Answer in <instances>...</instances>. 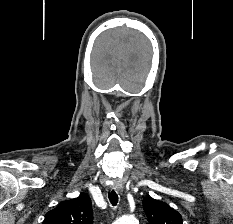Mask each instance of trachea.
<instances>
[{
  "instance_id": "1",
  "label": "trachea",
  "mask_w": 233,
  "mask_h": 224,
  "mask_svg": "<svg viewBox=\"0 0 233 224\" xmlns=\"http://www.w3.org/2000/svg\"><path fill=\"white\" fill-rule=\"evenodd\" d=\"M109 200H110V202H111V204H112L113 206H116V205H117V203H118V195H117V193H116L114 190H112V191L109 193Z\"/></svg>"
}]
</instances>
